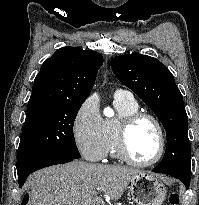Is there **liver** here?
Instances as JSON below:
<instances>
[{
	"label": "liver",
	"instance_id": "obj_1",
	"mask_svg": "<svg viewBox=\"0 0 199 205\" xmlns=\"http://www.w3.org/2000/svg\"><path fill=\"white\" fill-rule=\"evenodd\" d=\"M141 173L135 168L73 161L34 173L26 186L31 190L30 205H104L94 192L118 200Z\"/></svg>",
	"mask_w": 199,
	"mask_h": 205
}]
</instances>
